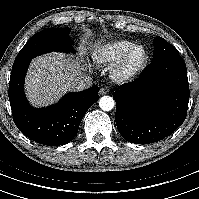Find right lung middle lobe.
<instances>
[{
  "instance_id": "obj_1",
  "label": "right lung middle lobe",
  "mask_w": 199,
  "mask_h": 199,
  "mask_svg": "<svg viewBox=\"0 0 199 199\" xmlns=\"http://www.w3.org/2000/svg\"><path fill=\"white\" fill-rule=\"evenodd\" d=\"M68 32L69 29L59 28L36 33L18 53L13 66L52 51H74Z\"/></svg>"
}]
</instances>
